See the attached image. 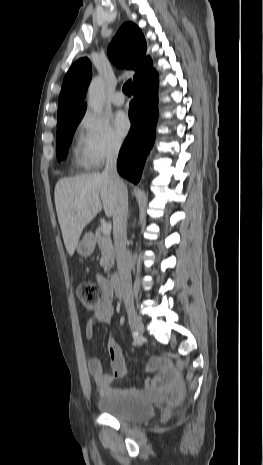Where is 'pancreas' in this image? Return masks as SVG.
<instances>
[{
  "mask_svg": "<svg viewBox=\"0 0 263 465\" xmlns=\"http://www.w3.org/2000/svg\"><path fill=\"white\" fill-rule=\"evenodd\" d=\"M95 239L101 251L100 265L105 272H109L113 266L115 255L110 234H104L100 227L95 231Z\"/></svg>",
  "mask_w": 263,
  "mask_h": 465,
  "instance_id": "1",
  "label": "pancreas"
}]
</instances>
